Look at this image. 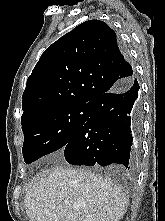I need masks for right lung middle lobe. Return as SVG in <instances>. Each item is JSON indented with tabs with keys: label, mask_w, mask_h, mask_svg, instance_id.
I'll return each mask as SVG.
<instances>
[{
	"label": "right lung middle lobe",
	"mask_w": 165,
	"mask_h": 221,
	"mask_svg": "<svg viewBox=\"0 0 165 221\" xmlns=\"http://www.w3.org/2000/svg\"><path fill=\"white\" fill-rule=\"evenodd\" d=\"M89 116L90 104H76L48 109L22 121L25 163L64 148Z\"/></svg>",
	"instance_id": "dd1d6c3e"
}]
</instances>
